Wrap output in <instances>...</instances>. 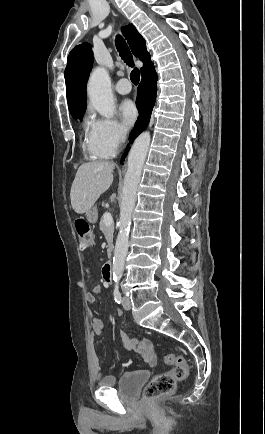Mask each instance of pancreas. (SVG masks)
Instances as JSON below:
<instances>
[{
    "label": "pancreas",
    "mask_w": 265,
    "mask_h": 434,
    "mask_svg": "<svg viewBox=\"0 0 265 434\" xmlns=\"http://www.w3.org/2000/svg\"><path fill=\"white\" fill-rule=\"evenodd\" d=\"M99 228L101 232H103L106 242L108 244V256H111L112 248H113V234H114V226H105L103 220H101L99 224Z\"/></svg>",
    "instance_id": "obj_1"
}]
</instances>
